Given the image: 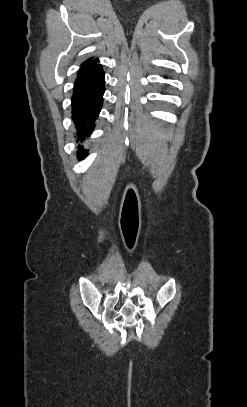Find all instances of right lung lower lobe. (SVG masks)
Listing matches in <instances>:
<instances>
[{
    "label": "right lung lower lobe",
    "mask_w": 247,
    "mask_h": 407,
    "mask_svg": "<svg viewBox=\"0 0 247 407\" xmlns=\"http://www.w3.org/2000/svg\"><path fill=\"white\" fill-rule=\"evenodd\" d=\"M98 59L83 63L78 71L72 95V118L78 140L89 137L99 116L105 91L104 71ZM88 155V150L80 146L79 159Z\"/></svg>",
    "instance_id": "obj_1"
}]
</instances>
